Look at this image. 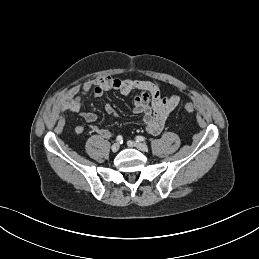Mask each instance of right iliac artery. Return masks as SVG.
<instances>
[{"label": "right iliac artery", "mask_w": 259, "mask_h": 259, "mask_svg": "<svg viewBox=\"0 0 259 259\" xmlns=\"http://www.w3.org/2000/svg\"><path fill=\"white\" fill-rule=\"evenodd\" d=\"M116 141L120 144L123 143V137L121 135H118L117 138H116Z\"/></svg>", "instance_id": "obj_1"}]
</instances>
